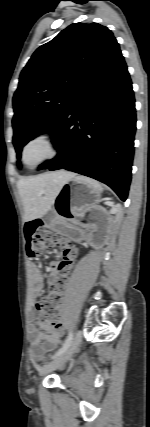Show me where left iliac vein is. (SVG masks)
Instances as JSON below:
<instances>
[{
	"label": "left iliac vein",
	"mask_w": 150,
	"mask_h": 427,
	"mask_svg": "<svg viewBox=\"0 0 150 427\" xmlns=\"http://www.w3.org/2000/svg\"><path fill=\"white\" fill-rule=\"evenodd\" d=\"M81 341H82V332H81V330H78L75 333L74 338H73L69 348L65 352H63L62 354H60L59 356L54 358V360H52L51 362H49L48 364L43 366L42 369L40 370V376H45L48 373H50V372L56 370L57 368L63 366L73 356V354L76 352Z\"/></svg>",
	"instance_id": "left-iliac-vein-1"
}]
</instances>
